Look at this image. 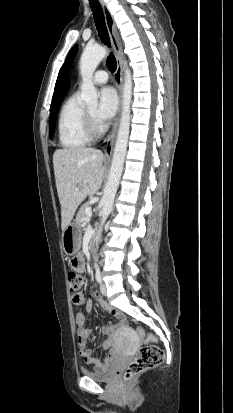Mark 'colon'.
<instances>
[{"label":"colon","instance_id":"obj_1","mask_svg":"<svg viewBox=\"0 0 233 413\" xmlns=\"http://www.w3.org/2000/svg\"><path fill=\"white\" fill-rule=\"evenodd\" d=\"M68 282L70 291L75 294L79 292L83 285V278L72 271L68 273ZM139 334L143 335V330H139ZM164 360L163 350L154 344V337L152 335L146 336V344L137 352L134 360L127 366L124 377L130 379L138 374L152 369L160 365Z\"/></svg>","mask_w":233,"mask_h":413}]
</instances>
